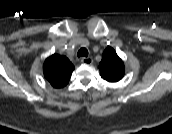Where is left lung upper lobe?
Returning <instances> with one entry per match:
<instances>
[{
	"label": "left lung upper lobe",
	"instance_id": "left-lung-upper-lobe-1",
	"mask_svg": "<svg viewBox=\"0 0 172 134\" xmlns=\"http://www.w3.org/2000/svg\"><path fill=\"white\" fill-rule=\"evenodd\" d=\"M99 69L101 77L108 82H117L121 80L125 73L123 61L119 58L116 51L111 47H108L103 52Z\"/></svg>",
	"mask_w": 172,
	"mask_h": 134
}]
</instances>
